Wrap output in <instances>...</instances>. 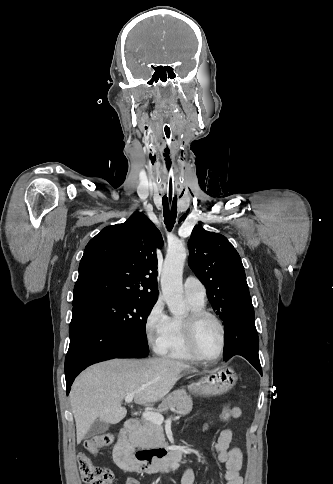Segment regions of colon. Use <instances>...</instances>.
I'll use <instances>...</instances> for the list:
<instances>
[{
  "instance_id": "obj_1",
  "label": "colon",
  "mask_w": 333,
  "mask_h": 484,
  "mask_svg": "<svg viewBox=\"0 0 333 484\" xmlns=\"http://www.w3.org/2000/svg\"><path fill=\"white\" fill-rule=\"evenodd\" d=\"M233 407L225 406L219 412L221 420H227ZM114 437L111 433H104L94 436L85 442V448L88 452L96 454L101 448L110 446ZM78 465L83 481L87 484H113L114 474L105 467L94 464L89 456L85 453L78 454Z\"/></svg>"
}]
</instances>
